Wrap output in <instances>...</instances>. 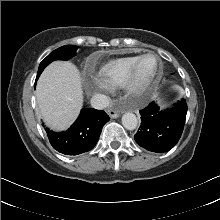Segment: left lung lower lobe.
Wrapping results in <instances>:
<instances>
[{
  "mask_svg": "<svg viewBox=\"0 0 220 220\" xmlns=\"http://www.w3.org/2000/svg\"><path fill=\"white\" fill-rule=\"evenodd\" d=\"M140 114L142 123L134 135L136 143L149 151L163 153L173 148L181 137L187 104L182 100L170 110H161L152 102Z\"/></svg>",
  "mask_w": 220,
  "mask_h": 220,
  "instance_id": "left-lung-lower-lobe-1",
  "label": "left lung lower lobe"
}]
</instances>
